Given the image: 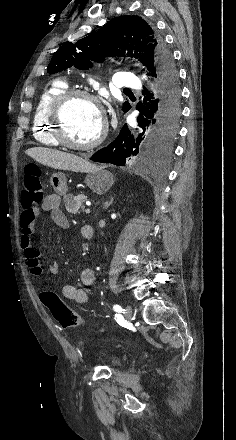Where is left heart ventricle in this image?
<instances>
[{
    "instance_id": "b2bd125f",
    "label": "left heart ventricle",
    "mask_w": 236,
    "mask_h": 440,
    "mask_svg": "<svg viewBox=\"0 0 236 440\" xmlns=\"http://www.w3.org/2000/svg\"><path fill=\"white\" fill-rule=\"evenodd\" d=\"M66 134L75 143L92 141L102 128L100 112L85 99H73L64 111Z\"/></svg>"
}]
</instances>
